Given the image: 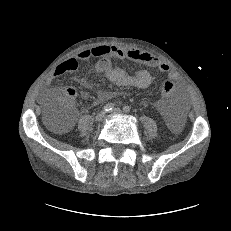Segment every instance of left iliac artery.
<instances>
[{
    "mask_svg": "<svg viewBox=\"0 0 231 231\" xmlns=\"http://www.w3.org/2000/svg\"><path fill=\"white\" fill-rule=\"evenodd\" d=\"M123 111L125 113H128L130 111V107L129 106H124Z\"/></svg>",
    "mask_w": 231,
    "mask_h": 231,
    "instance_id": "left-iliac-artery-1",
    "label": "left iliac artery"
}]
</instances>
